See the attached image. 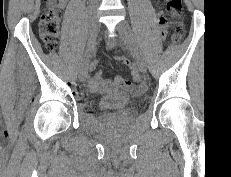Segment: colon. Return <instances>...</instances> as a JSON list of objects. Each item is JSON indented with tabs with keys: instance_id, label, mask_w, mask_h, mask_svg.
<instances>
[{
	"instance_id": "colon-1",
	"label": "colon",
	"mask_w": 231,
	"mask_h": 177,
	"mask_svg": "<svg viewBox=\"0 0 231 177\" xmlns=\"http://www.w3.org/2000/svg\"><path fill=\"white\" fill-rule=\"evenodd\" d=\"M57 0H44V2L52 5ZM167 10L174 16H179L182 9L181 0H166ZM161 24L165 23V18L160 16ZM59 24L60 19L58 13L53 8H48L41 16L39 22V31L42 41L46 48L50 51L56 49L59 40ZM183 30L179 24L176 25L173 34V41L178 42L182 37ZM115 59L123 65L129 66L130 60L124 56H117Z\"/></svg>"
}]
</instances>
